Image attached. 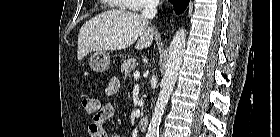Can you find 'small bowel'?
Returning <instances> with one entry per match:
<instances>
[{
  "mask_svg": "<svg viewBox=\"0 0 280 137\" xmlns=\"http://www.w3.org/2000/svg\"><path fill=\"white\" fill-rule=\"evenodd\" d=\"M120 85L117 78H111L106 84L108 94H115L119 91ZM114 114V106L112 103L103 105L99 112L93 117L88 125V131L91 137H108L104 127L105 122Z\"/></svg>",
  "mask_w": 280,
  "mask_h": 137,
  "instance_id": "obj_1",
  "label": "small bowel"
}]
</instances>
